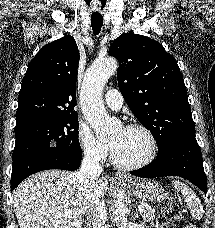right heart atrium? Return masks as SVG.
<instances>
[{
    "mask_svg": "<svg viewBox=\"0 0 215 228\" xmlns=\"http://www.w3.org/2000/svg\"><path fill=\"white\" fill-rule=\"evenodd\" d=\"M76 142L83 157L92 163H102L109 155L108 146L95 136L86 123L77 124Z\"/></svg>",
    "mask_w": 215,
    "mask_h": 228,
    "instance_id": "obj_1",
    "label": "right heart atrium"
}]
</instances>
